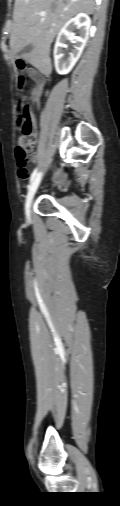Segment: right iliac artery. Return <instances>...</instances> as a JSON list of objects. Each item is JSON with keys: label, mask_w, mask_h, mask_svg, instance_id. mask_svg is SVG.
Here are the masks:
<instances>
[{"label": "right iliac artery", "mask_w": 120, "mask_h": 506, "mask_svg": "<svg viewBox=\"0 0 120 506\" xmlns=\"http://www.w3.org/2000/svg\"><path fill=\"white\" fill-rule=\"evenodd\" d=\"M37 176H40V173L38 174L37 169H35L30 177V183H32L36 179Z\"/></svg>", "instance_id": "1"}]
</instances>
